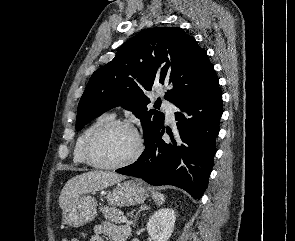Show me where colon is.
I'll return each mask as SVG.
<instances>
[{
	"instance_id": "5ec220e1",
	"label": "colon",
	"mask_w": 295,
	"mask_h": 241,
	"mask_svg": "<svg viewBox=\"0 0 295 241\" xmlns=\"http://www.w3.org/2000/svg\"><path fill=\"white\" fill-rule=\"evenodd\" d=\"M64 241H67V240H64ZM72 241H77V240H72Z\"/></svg>"
}]
</instances>
